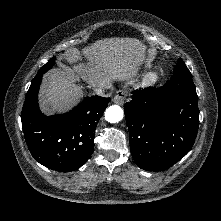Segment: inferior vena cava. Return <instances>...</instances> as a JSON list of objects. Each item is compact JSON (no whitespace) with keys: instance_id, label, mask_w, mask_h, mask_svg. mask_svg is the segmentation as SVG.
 Wrapping results in <instances>:
<instances>
[{"instance_id":"1","label":"inferior vena cava","mask_w":221,"mask_h":221,"mask_svg":"<svg viewBox=\"0 0 221 221\" xmlns=\"http://www.w3.org/2000/svg\"><path fill=\"white\" fill-rule=\"evenodd\" d=\"M109 88H112V85L111 84H106L104 87L96 88L94 91L99 96H107V95H105L104 90L109 89Z\"/></svg>"}]
</instances>
